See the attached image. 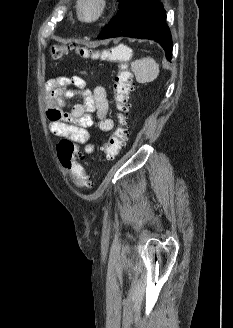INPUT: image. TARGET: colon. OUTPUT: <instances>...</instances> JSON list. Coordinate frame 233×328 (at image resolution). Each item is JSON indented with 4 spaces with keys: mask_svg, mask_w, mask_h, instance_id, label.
Masks as SVG:
<instances>
[{
    "mask_svg": "<svg viewBox=\"0 0 233 328\" xmlns=\"http://www.w3.org/2000/svg\"><path fill=\"white\" fill-rule=\"evenodd\" d=\"M74 49L78 54L86 58L101 57L103 60H116L119 62L118 72L113 79V93L117 108L118 124L108 142L102 148L107 159H114L125 146L129 135L127 116L130 111V100L133 92V75L126 61L130 59L131 52L128 49L112 47L99 54L98 52L75 45H53L50 48V57L59 59ZM57 156L61 166L72 175L78 186H89L88 177L80 163L83 159V154L79 151L74 141L69 138H62L57 146Z\"/></svg>",
    "mask_w": 233,
    "mask_h": 328,
    "instance_id": "1",
    "label": "colon"
}]
</instances>
